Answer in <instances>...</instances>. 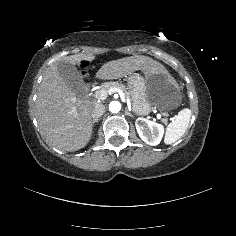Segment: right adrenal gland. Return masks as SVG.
Segmentation results:
<instances>
[{
    "instance_id": "obj_1",
    "label": "right adrenal gland",
    "mask_w": 236,
    "mask_h": 236,
    "mask_svg": "<svg viewBox=\"0 0 236 236\" xmlns=\"http://www.w3.org/2000/svg\"><path fill=\"white\" fill-rule=\"evenodd\" d=\"M96 122H98V120H97V119H94V120L92 121V124L94 125Z\"/></svg>"
}]
</instances>
